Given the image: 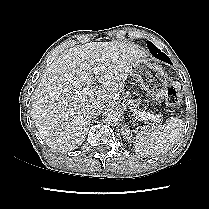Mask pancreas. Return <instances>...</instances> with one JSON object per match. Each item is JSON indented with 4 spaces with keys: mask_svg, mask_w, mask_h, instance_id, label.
I'll list each match as a JSON object with an SVG mask.
<instances>
[{
    "mask_svg": "<svg viewBox=\"0 0 209 209\" xmlns=\"http://www.w3.org/2000/svg\"><path fill=\"white\" fill-rule=\"evenodd\" d=\"M131 110L135 113V114H137V115H140V113H142L141 111H140V109L138 108V102L137 101H132L131 102ZM156 116V118L155 119H153V121L154 122H161V120H162V117H161V115H155ZM141 118V117H140ZM147 118V114H145L143 117H142V119H146Z\"/></svg>",
    "mask_w": 209,
    "mask_h": 209,
    "instance_id": "1",
    "label": "pancreas"
}]
</instances>
